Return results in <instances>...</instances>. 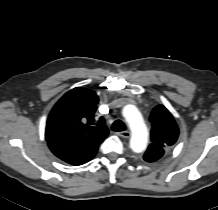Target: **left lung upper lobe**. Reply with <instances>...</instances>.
<instances>
[{"mask_svg":"<svg viewBox=\"0 0 218 210\" xmlns=\"http://www.w3.org/2000/svg\"><path fill=\"white\" fill-rule=\"evenodd\" d=\"M150 122L152 123V143L144 154V160L154 162L176 142L179 130L174 117L163 105H158L152 110Z\"/></svg>","mask_w":218,"mask_h":210,"instance_id":"obj_1","label":"left lung upper lobe"}]
</instances>
